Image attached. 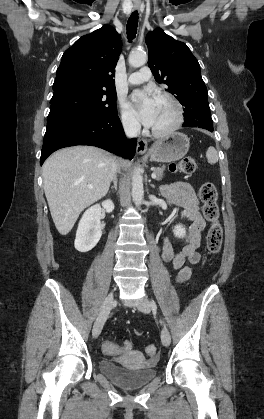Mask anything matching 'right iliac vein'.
<instances>
[{"mask_svg": "<svg viewBox=\"0 0 264 419\" xmlns=\"http://www.w3.org/2000/svg\"><path fill=\"white\" fill-rule=\"evenodd\" d=\"M113 305H114V294L110 293L106 297V299H105V301H104V303L101 307V310L99 312V315H98V317H97V319L94 323L92 334L95 338L98 337L99 334L101 333L102 328L104 326V323H105Z\"/></svg>", "mask_w": 264, "mask_h": 419, "instance_id": "obj_1", "label": "right iliac vein"}]
</instances>
